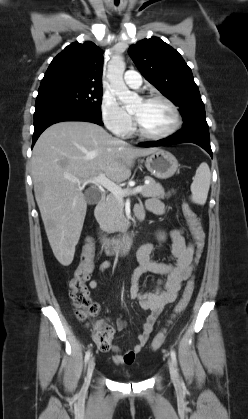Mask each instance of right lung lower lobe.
Segmentation results:
<instances>
[{"label": "right lung lower lobe", "instance_id": "1", "mask_svg": "<svg viewBox=\"0 0 248 419\" xmlns=\"http://www.w3.org/2000/svg\"><path fill=\"white\" fill-rule=\"evenodd\" d=\"M61 121H87L103 125L102 117H97L92 113L74 106H55L36 110L34 113V146L40 134L50 125Z\"/></svg>", "mask_w": 248, "mask_h": 419}]
</instances>
